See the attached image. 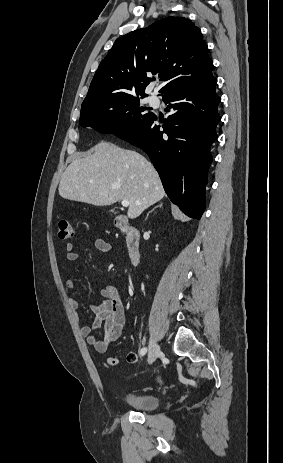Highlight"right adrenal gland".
Listing matches in <instances>:
<instances>
[{"label":"right adrenal gland","instance_id":"right-adrenal-gland-1","mask_svg":"<svg viewBox=\"0 0 283 463\" xmlns=\"http://www.w3.org/2000/svg\"><path fill=\"white\" fill-rule=\"evenodd\" d=\"M158 207H160V208L162 207V202H160V204L158 206L154 207L149 213H151L152 211H154ZM149 213H148V215H149ZM148 215H147V217H148Z\"/></svg>","mask_w":283,"mask_h":463}]
</instances>
